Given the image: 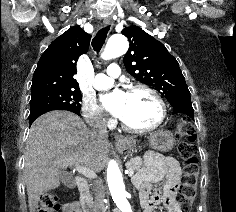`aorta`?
<instances>
[{
  "instance_id": "1",
  "label": "aorta",
  "mask_w": 236,
  "mask_h": 212,
  "mask_svg": "<svg viewBox=\"0 0 236 212\" xmlns=\"http://www.w3.org/2000/svg\"><path fill=\"white\" fill-rule=\"evenodd\" d=\"M128 46L127 38L124 35H113L109 38L101 57L104 60L119 57L127 52ZM107 183L112 199L119 212H132V207L127 199V192L121 171L114 160H111L108 164Z\"/></svg>"
}]
</instances>
